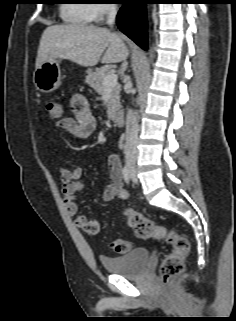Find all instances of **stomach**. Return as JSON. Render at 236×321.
I'll return each instance as SVG.
<instances>
[{"label": "stomach", "instance_id": "stomach-1", "mask_svg": "<svg viewBox=\"0 0 236 321\" xmlns=\"http://www.w3.org/2000/svg\"><path fill=\"white\" fill-rule=\"evenodd\" d=\"M61 68L60 60L45 61L35 69L33 83L36 89L42 93H49L60 86Z\"/></svg>", "mask_w": 236, "mask_h": 321}]
</instances>
